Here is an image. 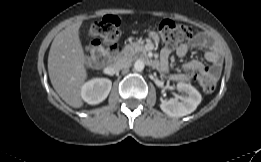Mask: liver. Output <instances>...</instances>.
Wrapping results in <instances>:
<instances>
[{
  "label": "liver",
  "instance_id": "6515ba94",
  "mask_svg": "<svg viewBox=\"0 0 261 162\" xmlns=\"http://www.w3.org/2000/svg\"><path fill=\"white\" fill-rule=\"evenodd\" d=\"M82 21L74 22L54 38L48 55V73L53 88L70 106H83L81 88L87 79L84 50L79 38Z\"/></svg>",
  "mask_w": 261,
  "mask_h": 162
}]
</instances>
